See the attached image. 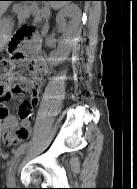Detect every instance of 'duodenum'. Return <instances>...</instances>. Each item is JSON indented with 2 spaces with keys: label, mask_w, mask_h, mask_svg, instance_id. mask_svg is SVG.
I'll use <instances>...</instances> for the list:
<instances>
[{
  "label": "duodenum",
  "mask_w": 137,
  "mask_h": 189,
  "mask_svg": "<svg viewBox=\"0 0 137 189\" xmlns=\"http://www.w3.org/2000/svg\"><path fill=\"white\" fill-rule=\"evenodd\" d=\"M36 59H37V60H40V59H42V58H40V56L37 55V56H36Z\"/></svg>",
  "instance_id": "duodenum-1"
}]
</instances>
